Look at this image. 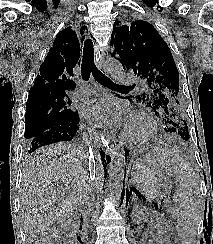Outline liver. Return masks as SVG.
I'll use <instances>...</instances> for the list:
<instances>
[{
    "label": "liver",
    "instance_id": "6515ba94",
    "mask_svg": "<svg viewBox=\"0 0 213 244\" xmlns=\"http://www.w3.org/2000/svg\"><path fill=\"white\" fill-rule=\"evenodd\" d=\"M89 154L71 143H57L37 150L27 161L21 189L23 229L28 244L59 220L81 207L91 189ZM98 175L102 172L96 165Z\"/></svg>",
    "mask_w": 213,
    "mask_h": 244
}]
</instances>
